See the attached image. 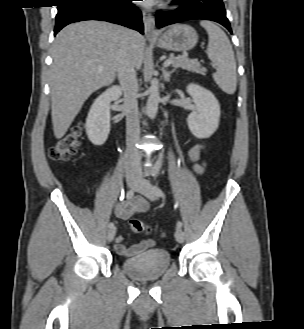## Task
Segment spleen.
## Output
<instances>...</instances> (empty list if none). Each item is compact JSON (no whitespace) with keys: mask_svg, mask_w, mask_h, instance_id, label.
Masks as SVG:
<instances>
[{"mask_svg":"<svg viewBox=\"0 0 304 329\" xmlns=\"http://www.w3.org/2000/svg\"><path fill=\"white\" fill-rule=\"evenodd\" d=\"M200 25L209 36L207 55L216 69L213 79L225 93L234 94L237 86L236 61L230 41L214 23L201 21Z\"/></svg>","mask_w":304,"mask_h":329,"instance_id":"1","label":"spleen"}]
</instances>
